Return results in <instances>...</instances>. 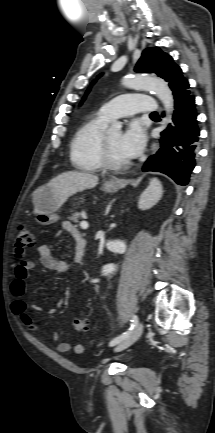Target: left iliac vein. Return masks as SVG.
<instances>
[{
    "instance_id": "obj_1",
    "label": "left iliac vein",
    "mask_w": 215,
    "mask_h": 433,
    "mask_svg": "<svg viewBox=\"0 0 215 433\" xmlns=\"http://www.w3.org/2000/svg\"><path fill=\"white\" fill-rule=\"evenodd\" d=\"M143 331V324L142 322H139L136 327L131 331V333L129 334V336L124 339L123 341L120 342V344H118L114 351L115 352H120L125 350L126 348L130 347L132 344H134L141 336Z\"/></svg>"
}]
</instances>
